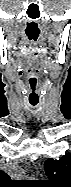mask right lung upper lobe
Instances as JSON below:
<instances>
[{"instance_id":"cb5924a9","label":"right lung upper lobe","mask_w":71,"mask_h":187,"mask_svg":"<svg viewBox=\"0 0 71 187\" xmlns=\"http://www.w3.org/2000/svg\"><path fill=\"white\" fill-rule=\"evenodd\" d=\"M2 173H3V177H4L5 179H10L9 176H8L7 174H5L4 172H2Z\"/></svg>"}]
</instances>
